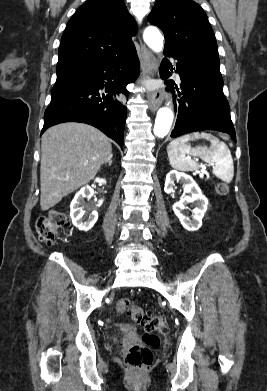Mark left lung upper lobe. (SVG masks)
<instances>
[{
  "mask_svg": "<svg viewBox=\"0 0 267 391\" xmlns=\"http://www.w3.org/2000/svg\"><path fill=\"white\" fill-rule=\"evenodd\" d=\"M148 21L165 34V48L219 67L217 42L204 10L192 0H157Z\"/></svg>",
  "mask_w": 267,
  "mask_h": 391,
  "instance_id": "obj_1",
  "label": "left lung upper lobe"
}]
</instances>
